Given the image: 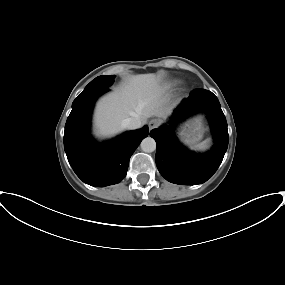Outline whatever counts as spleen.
I'll return each mask as SVG.
<instances>
[{
    "label": "spleen",
    "instance_id": "1",
    "mask_svg": "<svg viewBox=\"0 0 285 285\" xmlns=\"http://www.w3.org/2000/svg\"><path fill=\"white\" fill-rule=\"evenodd\" d=\"M208 146H209V139H207V140L201 142V143L198 144V145H195V146L191 147V149H193V150H199V151L201 150V151H202V150L207 149Z\"/></svg>",
    "mask_w": 285,
    "mask_h": 285
}]
</instances>
